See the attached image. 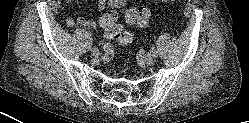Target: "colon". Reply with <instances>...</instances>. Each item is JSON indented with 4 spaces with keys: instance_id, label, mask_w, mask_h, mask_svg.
Listing matches in <instances>:
<instances>
[{
    "instance_id": "obj_1",
    "label": "colon",
    "mask_w": 249,
    "mask_h": 123,
    "mask_svg": "<svg viewBox=\"0 0 249 123\" xmlns=\"http://www.w3.org/2000/svg\"><path fill=\"white\" fill-rule=\"evenodd\" d=\"M177 0H162L165 4H172ZM151 18V11L146 7L135 6L126 12L125 20L128 24L145 28ZM106 36L120 45H128L132 37L130 33L125 31L117 22V16L114 13L104 14L100 21Z\"/></svg>"
}]
</instances>
